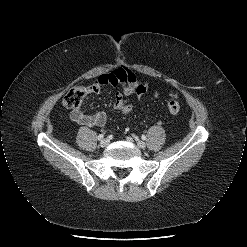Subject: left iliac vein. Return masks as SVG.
<instances>
[{"label":"left iliac vein","instance_id":"4c4485c4","mask_svg":"<svg viewBox=\"0 0 247 247\" xmlns=\"http://www.w3.org/2000/svg\"><path fill=\"white\" fill-rule=\"evenodd\" d=\"M126 140H127L128 142H132V138H130V137H127ZM136 143H137V146H138L139 148L144 149V148L146 147L145 142H143V141H141V140H137Z\"/></svg>","mask_w":247,"mask_h":247}]
</instances>
